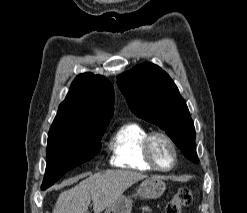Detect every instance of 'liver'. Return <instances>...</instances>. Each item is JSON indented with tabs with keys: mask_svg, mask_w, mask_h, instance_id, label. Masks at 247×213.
I'll return each mask as SVG.
<instances>
[{
	"mask_svg": "<svg viewBox=\"0 0 247 213\" xmlns=\"http://www.w3.org/2000/svg\"><path fill=\"white\" fill-rule=\"evenodd\" d=\"M147 176L128 170H106L82 180L61 192L53 213H87L92 200L94 213H101L114 204L123 192Z\"/></svg>",
	"mask_w": 247,
	"mask_h": 213,
	"instance_id": "obj_1",
	"label": "liver"
}]
</instances>
